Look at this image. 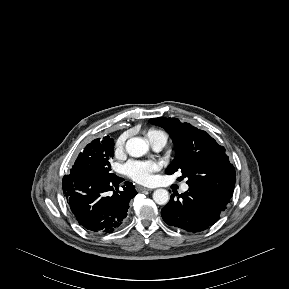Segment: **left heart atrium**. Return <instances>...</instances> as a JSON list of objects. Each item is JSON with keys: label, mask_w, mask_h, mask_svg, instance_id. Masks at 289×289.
Masks as SVG:
<instances>
[{"label": "left heart atrium", "mask_w": 289, "mask_h": 289, "mask_svg": "<svg viewBox=\"0 0 289 289\" xmlns=\"http://www.w3.org/2000/svg\"><path fill=\"white\" fill-rule=\"evenodd\" d=\"M158 169L154 162L131 161L127 164L125 172L132 180L147 184L152 180V174Z\"/></svg>", "instance_id": "39dd6f15"}]
</instances>
